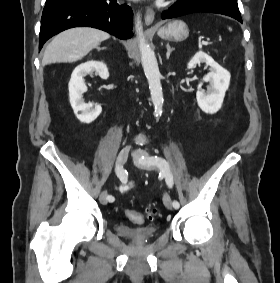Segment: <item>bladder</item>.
<instances>
[{
	"label": "bladder",
	"mask_w": 280,
	"mask_h": 283,
	"mask_svg": "<svg viewBox=\"0 0 280 283\" xmlns=\"http://www.w3.org/2000/svg\"><path fill=\"white\" fill-rule=\"evenodd\" d=\"M114 229L117 234L136 242H144L153 238L157 231L154 225L131 227L122 222H117Z\"/></svg>",
	"instance_id": "1"
}]
</instances>
